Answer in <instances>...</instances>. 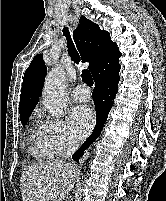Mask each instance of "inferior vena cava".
I'll list each match as a JSON object with an SVG mask.
<instances>
[{"label":"inferior vena cava","instance_id":"obj_1","mask_svg":"<svg viewBox=\"0 0 166 201\" xmlns=\"http://www.w3.org/2000/svg\"><path fill=\"white\" fill-rule=\"evenodd\" d=\"M79 148V143L77 142H71L68 145L67 151H66V158H70L76 150Z\"/></svg>","mask_w":166,"mask_h":201}]
</instances>
